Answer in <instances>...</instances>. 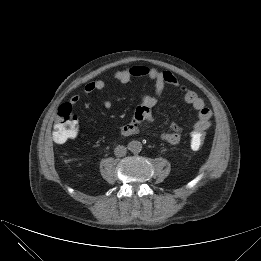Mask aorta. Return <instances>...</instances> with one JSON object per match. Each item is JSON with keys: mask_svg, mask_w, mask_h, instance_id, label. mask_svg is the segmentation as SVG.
<instances>
[{"mask_svg": "<svg viewBox=\"0 0 261 261\" xmlns=\"http://www.w3.org/2000/svg\"><path fill=\"white\" fill-rule=\"evenodd\" d=\"M128 149L132 153H139L142 150V143L137 140H133L128 144Z\"/></svg>", "mask_w": 261, "mask_h": 261, "instance_id": "1", "label": "aorta"}]
</instances>
